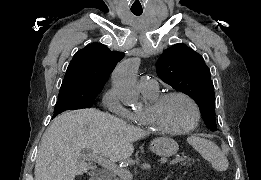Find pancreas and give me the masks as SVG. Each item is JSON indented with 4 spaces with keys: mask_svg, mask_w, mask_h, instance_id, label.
<instances>
[{
    "mask_svg": "<svg viewBox=\"0 0 261 180\" xmlns=\"http://www.w3.org/2000/svg\"><path fill=\"white\" fill-rule=\"evenodd\" d=\"M184 164H185V167H195V162H192L191 159L184 158ZM118 177H119V174H118ZM119 180H120V178H119Z\"/></svg>",
    "mask_w": 261,
    "mask_h": 180,
    "instance_id": "1",
    "label": "pancreas"
}]
</instances>
